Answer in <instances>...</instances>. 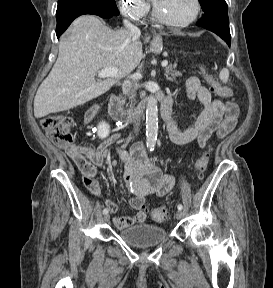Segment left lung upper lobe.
<instances>
[{
	"instance_id": "obj_1",
	"label": "left lung upper lobe",
	"mask_w": 273,
	"mask_h": 288,
	"mask_svg": "<svg viewBox=\"0 0 273 288\" xmlns=\"http://www.w3.org/2000/svg\"><path fill=\"white\" fill-rule=\"evenodd\" d=\"M199 2L205 15L228 10L225 0H199Z\"/></svg>"
}]
</instances>
